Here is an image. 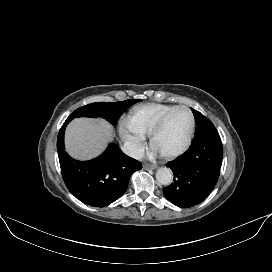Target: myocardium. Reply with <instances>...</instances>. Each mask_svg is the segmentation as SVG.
Wrapping results in <instances>:
<instances>
[{"instance_id":"1","label":"myocardium","mask_w":272,"mask_h":272,"mask_svg":"<svg viewBox=\"0 0 272 272\" xmlns=\"http://www.w3.org/2000/svg\"><path fill=\"white\" fill-rule=\"evenodd\" d=\"M181 109L187 111V113L189 114V117H190V128H189L188 135H187L184 143L179 148H177L176 150H173L171 152H168V153H161L160 155L163 158L170 159V158H174V157L182 154L183 152H185L188 149V147L190 146V144L192 142L194 132H195L196 121H195V117H194L192 110L185 105L175 106L172 109H170L169 111H167L166 113H164L159 118V120L154 125V127L152 128V130L149 134V142H150V145L152 146L154 138L162 130V128L164 127L169 116L173 112H175L177 110H181Z\"/></svg>"}]
</instances>
